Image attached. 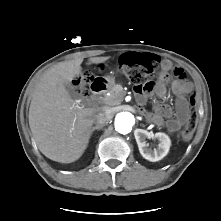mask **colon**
Masks as SVG:
<instances>
[{
  "mask_svg": "<svg viewBox=\"0 0 221 221\" xmlns=\"http://www.w3.org/2000/svg\"><path fill=\"white\" fill-rule=\"evenodd\" d=\"M159 60L153 54H140L132 57L130 60L121 61L118 65V70L125 75L131 82L139 88L149 91L153 88V78L158 68ZM89 76L84 75L79 78V92L86 95L85 84L88 83ZM189 101L192 105L195 103L194 95L189 96ZM197 122V113L192 109L189 113V118L182 130L184 140H190L193 136Z\"/></svg>",
  "mask_w": 221,
  "mask_h": 221,
  "instance_id": "colon-1",
  "label": "colon"
}]
</instances>
